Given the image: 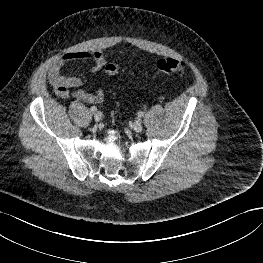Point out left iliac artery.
Wrapping results in <instances>:
<instances>
[{
  "instance_id": "1",
  "label": "left iliac artery",
  "mask_w": 263,
  "mask_h": 263,
  "mask_svg": "<svg viewBox=\"0 0 263 263\" xmlns=\"http://www.w3.org/2000/svg\"><path fill=\"white\" fill-rule=\"evenodd\" d=\"M143 115H144V113H143L142 111H139V112H138V116H139V117H142Z\"/></svg>"
}]
</instances>
